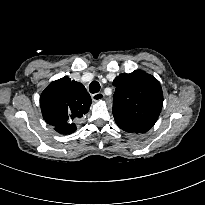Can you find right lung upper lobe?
<instances>
[{"label":"right lung upper lobe","instance_id":"1","mask_svg":"<svg viewBox=\"0 0 205 205\" xmlns=\"http://www.w3.org/2000/svg\"><path fill=\"white\" fill-rule=\"evenodd\" d=\"M90 105L85 87L67 76L53 81L40 97L44 120L60 134L73 133L75 122L89 111Z\"/></svg>","mask_w":205,"mask_h":205}]
</instances>
